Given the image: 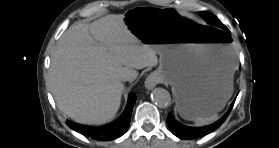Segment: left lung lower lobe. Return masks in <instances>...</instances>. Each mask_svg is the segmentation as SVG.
Instances as JSON below:
<instances>
[{"label":"left lung lower lobe","mask_w":279,"mask_h":148,"mask_svg":"<svg viewBox=\"0 0 279 148\" xmlns=\"http://www.w3.org/2000/svg\"><path fill=\"white\" fill-rule=\"evenodd\" d=\"M233 105H234V102L231 104L228 112L221 119H219L217 122H215L209 126L200 127V128L184 126V125L178 123L174 119V117L172 116L171 113L167 117V124H168L169 128L171 129V132L175 136H177L181 139H195V138L203 137V136L209 134L210 132L214 131L226 120Z\"/></svg>","instance_id":"left-lung-lower-lobe-1"}]
</instances>
